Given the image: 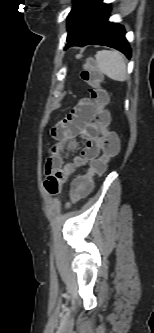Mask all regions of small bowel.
I'll return each mask as SVG.
<instances>
[{"instance_id":"small-bowel-1","label":"small bowel","mask_w":154,"mask_h":333,"mask_svg":"<svg viewBox=\"0 0 154 333\" xmlns=\"http://www.w3.org/2000/svg\"><path fill=\"white\" fill-rule=\"evenodd\" d=\"M97 107L89 99H82L63 120L52 129L55 142L49 149L45 165V189L51 195L59 193L76 168L84 166L97 157L102 148L99 125L95 122ZM80 154L73 162H66L65 155L80 147Z\"/></svg>"}]
</instances>
